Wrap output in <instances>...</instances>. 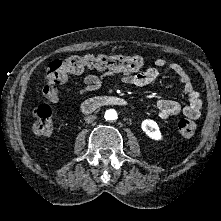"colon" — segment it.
<instances>
[{"mask_svg": "<svg viewBox=\"0 0 221 221\" xmlns=\"http://www.w3.org/2000/svg\"><path fill=\"white\" fill-rule=\"evenodd\" d=\"M144 66V60L140 56H103L87 55L72 56L64 60L52 61L45 72L42 93L46 98L55 99L59 96L58 86L62 84L69 74H79L85 67L105 69L109 68L117 72H137ZM33 133L39 137H47L53 131L52 111L46 105H38L33 113ZM179 132L190 137L195 133L196 124L190 118H182L178 122Z\"/></svg>", "mask_w": 221, "mask_h": 221, "instance_id": "1", "label": "colon"}]
</instances>
